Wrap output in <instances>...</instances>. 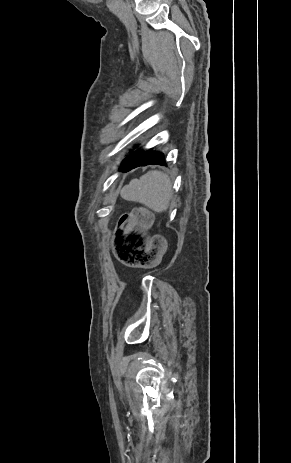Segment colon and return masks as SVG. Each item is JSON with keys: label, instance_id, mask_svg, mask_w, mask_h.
<instances>
[{"label": "colon", "instance_id": "5ec220e1", "mask_svg": "<svg viewBox=\"0 0 291 463\" xmlns=\"http://www.w3.org/2000/svg\"><path fill=\"white\" fill-rule=\"evenodd\" d=\"M152 214L145 208L124 214L116 226L113 250L116 259L128 267H140L155 260L162 248L163 238L155 235L148 239L138 228L148 227Z\"/></svg>", "mask_w": 291, "mask_h": 463}]
</instances>
